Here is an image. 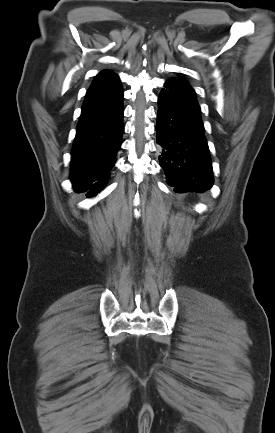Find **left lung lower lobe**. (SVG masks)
I'll return each mask as SVG.
<instances>
[{
    "label": "left lung lower lobe",
    "instance_id": "obj_1",
    "mask_svg": "<svg viewBox=\"0 0 275 433\" xmlns=\"http://www.w3.org/2000/svg\"><path fill=\"white\" fill-rule=\"evenodd\" d=\"M158 104L159 162L167 183L176 193L209 190L213 185L212 163L195 91L181 78L169 79Z\"/></svg>",
    "mask_w": 275,
    "mask_h": 433
}]
</instances>
